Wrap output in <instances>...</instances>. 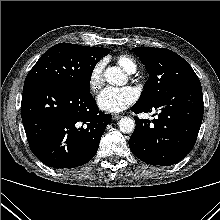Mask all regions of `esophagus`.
I'll return each instance as SVG.
<instances>
[{
	"label": "esophagus",
	"mask_w": 220,
	"mask_h": 220,
	"mask_svg": "<svg viewBox=\"0 0 220 220\" xmlns=\"http://www.w3.org/2000/svg\"><path fill=\"white\" fill-rule=\"evenodd\" d=\"M120 115L119 114H112V119L113 120H118V119H120Z\"/></svg>",
	"instance_id": "1"
}]
</instances>
